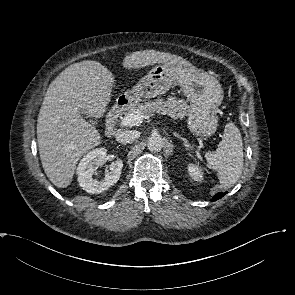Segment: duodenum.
Returning a JSON list of instances; mask_svg holds the SVG:
<instances>
[{
    "mask_svg": "<svg viewBox=\"0 0 295 295\" xmlns=\"http://www.w3.org/2000/svg\"><path fill=\"white\" fill-rule=\"evenodd\" d=\"M126 103L127 102L125 100L120 99L109 111L106 122V135L112 136L115 134L116 123L125 110Z\"/></svg>",
    "mask_w": 295,
    "mask_h": 295,
    "instance_id": "1",
    "label": "duodenum"
}]
</instances>
